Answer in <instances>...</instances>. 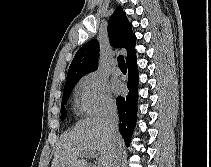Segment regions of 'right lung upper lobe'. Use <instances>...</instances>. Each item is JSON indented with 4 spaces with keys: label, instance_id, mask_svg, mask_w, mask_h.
I'll return each mask as SVG.
<instances>
[{
    "label": "right lung upper lobe",
    "instance_id": "cb5924a9",
    "mask_svg": "<svg viewBox=\"0 0 211 167\" xmlns=\"http://www.w3.org/2000/svg\"><path fill=\"white\" fill-rule=\"evenodd\" d=\"M131 23L121 7H117L108 23V34L114 47H123L127 50L126 62L136 58V36L131 30ZM99 44L91 40L83 45L76 53L68 70L66 82L80 79L83 75L98 68Z\"/></svg>",
    "mask_w": 211,
    "mask_h": 167
}]
</instances>
